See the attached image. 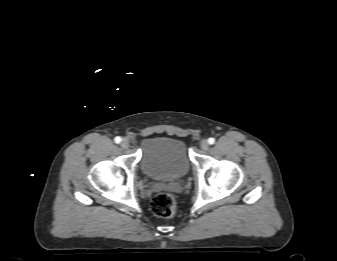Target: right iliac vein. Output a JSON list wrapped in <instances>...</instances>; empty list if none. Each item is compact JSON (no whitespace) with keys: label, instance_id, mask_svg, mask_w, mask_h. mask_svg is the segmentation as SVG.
Here are the masks:
<instances>
[{"label":"right iliac vein","instance_id":"1","mask_svg":"<svg viewBox=\"0 0 337 261\" xmlns=\"http://www.w3.org/2000/svg\"><path fill=\"white\" fill-rule=\"evenodd\" d=\"M121 147L123 149H127L129 147V141L127 139H123L121 142Z\"/></svg>","mask_w":337,"mask_h":261}]
</instances>
